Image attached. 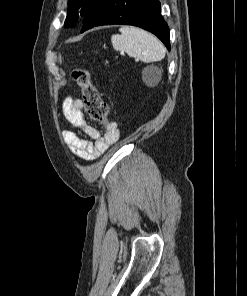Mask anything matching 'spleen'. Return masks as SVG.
Listing matches in <instances>:
<instances>
[{
    "instance_id": "3e777b00",
    "label": "spleen",
    "mask_w": 247,
    "mask_h": 296,
    "mask_svg": "<svg viewBox=\"0 0 247 296\" xmlns=\"http://www.w3.org/2000/svg\"><path fill=\"white\" fill-rule=\"evenodd\" d=\"M120 34L112 35L111 42L116 51H124L144 63L160 61L165 57V47L152 34L137 27L123 26Z\"/></svg>"
}]
</instances>
